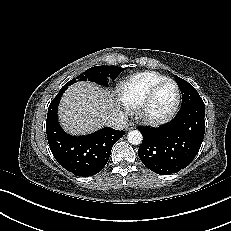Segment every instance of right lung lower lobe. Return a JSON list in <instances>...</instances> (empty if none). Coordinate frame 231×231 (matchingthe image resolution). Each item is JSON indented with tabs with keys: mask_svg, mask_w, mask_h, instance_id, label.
Returning <instances> with one entry per match:
<instances>
[{
	"mask_svg": "<svg viewBox=\"0 0 231 231\" xmlns=\"http://www.w3.org/2000/svg\"><path fill=\"white\" fill-rule=\"evenodd\" d=\"M68 86L65 84L50 103L46 120L48 143L53 156L63 168L74 175L88 177L104 168L113 145L125 132L105 127L86 136L65 133L59 125L57 109Z\"/></svg>",
	"mask_w": 231,
	"mask_h": 231,
	"instance_id": "1",
	"label": "right lung lower lobe"
}]
</instances>
